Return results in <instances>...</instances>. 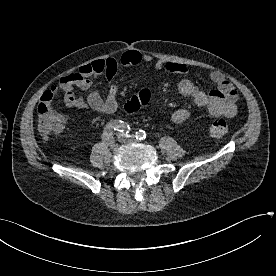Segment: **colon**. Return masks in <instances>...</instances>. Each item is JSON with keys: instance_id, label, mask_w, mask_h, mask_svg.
Segmentation results:
<instances>
[{"instance_id": "1", "label": "colon", "mask_w": 276, "mask_h": 276, "mask_svg": "<svg viewBox=\"0 0 276 276\" xmlns=\"http://www.w3.org/2000/svg\"><path fill=\"white\" fill-rule=\"evenodd\" d=\"M57 91L58 87L52 89L53 94ZM150 98V91L142 89L126 101L124 109L128 113L135 112L140 107L147 105ZM37 113L39 131L44 138L48 139L62 132L65 123L64 117L54 109L52 102L40 101ZM208 130L213 137H223L229 132V125L224 119H216L210 122Z\"/></svg>"}]
</instances>
